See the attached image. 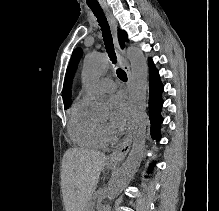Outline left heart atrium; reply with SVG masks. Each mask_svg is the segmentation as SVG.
<instances>
[{
    "label": "left heart atrium",
    "mask_w": 219,
    "mask_h": 211,
    "mask_svg": "<svg viewBox=\"0 0 219 211\" xmlns=\"http://www.w3.org/2000/svg\"><path fill=\"white\" fill-rule=\"evenodd\" d=\"M110 122L119 129L124 126L129 116V105L124 96L116 94L109 100Z\"/></svg>",
    "instance_id": "39dd6f15"
}]
</instances>
